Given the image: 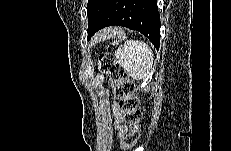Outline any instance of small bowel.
<instances>
[{
    "label": "small bowel",
    "mask_w": 231,
    "mask_h": 151,
    "mask_svg": "<svg viewBox=\"0 0 231 151\" xmlns=\"http://www.w3.org/2000/svg\"><path fill=\"white\" fill-rule=\"evenodd\" d=\"M114 113L116 116L115 123L118 133L119 135H123L127 131V128L124 125H122L123 113L119 110L118 107H115Z\"/></svg>",
    "instance_id": "1"
}]
</instances>
